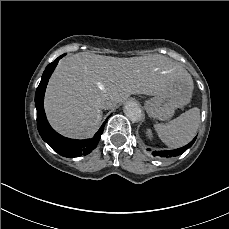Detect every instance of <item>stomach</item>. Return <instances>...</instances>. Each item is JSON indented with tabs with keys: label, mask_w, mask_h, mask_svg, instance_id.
<instances>
[{
	"label": "stomach",
	"mask_w": 229,
	"mask_h": 229,
	"mask_svg": "<svg viewBox=\"0 0 229 229\" xmlns=\"http://www.w3.org/2000/svg\"><path fill=\"white\" fill-rule=\"evenodd\" d=\"M192 92L193 86L174 80L158 95L145 101L144 109L150 117L168 120L173 116L175 109L182 108L190 102Z\"/></svg>",
	"instance_id": "1"
}]
</instances>
